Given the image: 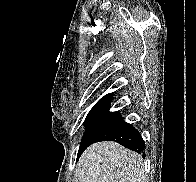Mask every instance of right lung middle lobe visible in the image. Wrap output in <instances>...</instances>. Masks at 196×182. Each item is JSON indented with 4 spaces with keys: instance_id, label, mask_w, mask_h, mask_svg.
I'll use <instances>...</instances> for the list:
<instances>
[{
    "instance_id": "dd1d6c3e",
    "label": "right lung middle lobe",
    "mask_w": 196,
    "mask_h": 182,
    "mask_svg": "<svg viewBox=\"0 0 196 182\" xmlns=\"http://www.w3.org/2000/svg\"><path fill=\"white\" fill-rule=\"evenodd\" d=\"M121 119L119 112H109V104L95 105L85 119L87 128L78 154L83 152L101 132Z\"/></svg>"
}]
</instances>
